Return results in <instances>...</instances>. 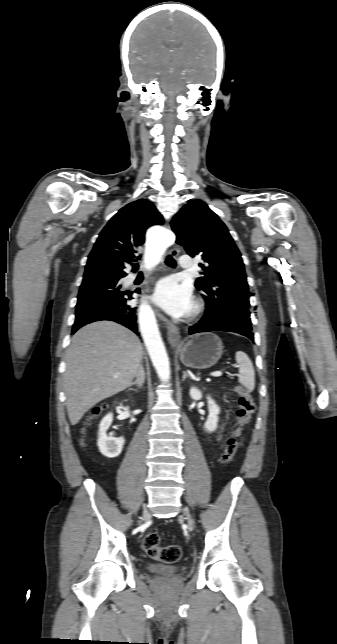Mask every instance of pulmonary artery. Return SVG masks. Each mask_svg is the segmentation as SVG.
I'll return each mask as SVG.
<instances>
[{"label":"pulmonary artery","instance_id":"e3ab8cb5","mask_svg":"<svg viewBox=\"0 0 337 644\" xmlns=\"http://www.w3.org/2000/svg\"><path fill=\"white\" fill-rule=\"evenodd\" d=\"M179 265L183 269L192 267V258L189 255H182L179 257Z\"/></svg>","mask_w":337,"mask_h":644}]
</instances>
